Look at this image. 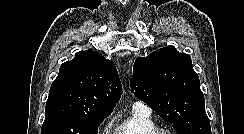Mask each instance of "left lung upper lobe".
Listing matches in <instances>:
<instances>
[{
	"label": "left lung upper lobe",
	"mask_w": 244,
	"mask_h": 134,
	"mask_svg": "<svg viewBox=\"0 0 244 134\" xmlns=\"http://www.w3.org/2000/svg\"><path fill=\"white\" fill-rule=\"evenodd\" d=\"M131 92L179 134H211L200 81L191 57L174 46L138 57L133 66Z\"/></svg>",
	"instance_id": "obj_1"
}]
</instances>
